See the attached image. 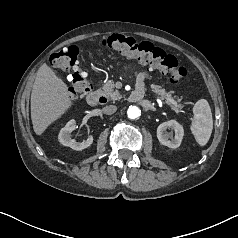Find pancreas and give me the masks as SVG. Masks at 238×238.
I'll use <instances>...</instances> for the list:
<instances>
[{"instance_id":"pancreas-1","label":"pancreas","mask_w":238,"mask_h":238,"mask_svg":"<svg viewBox=\"0 0 238 238\" xmlns=\"http://www.w3.org/2000/svg\"><path fill=\"white\" fill-rule=\"evenodd\" d=\"M151 91L153 93H155L158 96H161L162 99H165L171 106L172 108L176 111L179 112L182 108L181 105L179 104H172L169 99H173L171 97V92H167L164 88H162L159 85H154L151 84L150 85ZM101 93L105 96H107L108 98H110L113 101L119 100L122 98L121 94L119 93V91L117 89H115V84L113 80H109L107 81L101 90ZM174 100V99H173ZM175 101V100H174ZM176 102V101H175ZM177 103V102H176Z\"/></svg>"}]
</instances>
